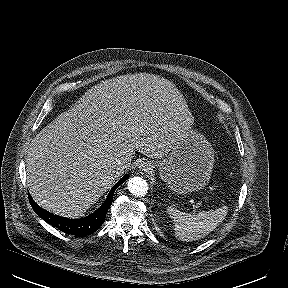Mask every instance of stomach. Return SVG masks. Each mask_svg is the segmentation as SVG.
<instances>
[{"label": "stomach", "mask_w": 288, "mask_h": 288, "mask_svg": "<svg viewBox=\"0 0 288 288\" xmlns=\"http://www.w3.org/2000/svg\"><path fill=\"white\" fill-rule=\"evenodd\" d=\"M214 164L211 143L200 133L189 130L177 140L170 153L153 163L163 182L174 192L187 194L208 183Z\"/></svg>", "instance_id": "1"}]
</instances>
